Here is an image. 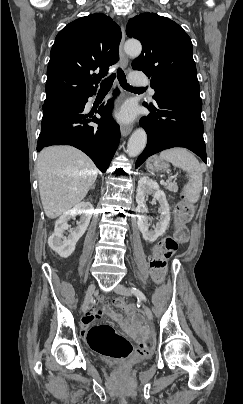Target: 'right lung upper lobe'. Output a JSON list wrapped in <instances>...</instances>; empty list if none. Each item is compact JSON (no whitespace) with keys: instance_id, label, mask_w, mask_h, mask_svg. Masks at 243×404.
Wrapping results in <instances>:
<instances>
[{"instance_id":"1","label":"right lung upper lobe","mask_w":243,"mask_h":404,"mask_svg":"<svg viewBox=\"0 0 243 404\" xmlns=\"http://www.w3.org/2000/svg\"><path fill=\"white\" fill-rule=\"evenodd\" d=\"M120 40L119 26L101 13L65 26L51 49L44 105L94 94L109 66L119 60Z\"/></svg>"}]
</instances>
